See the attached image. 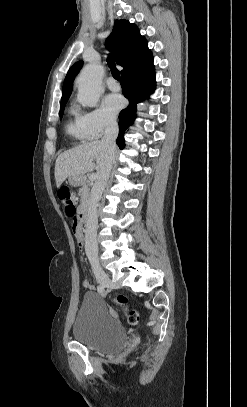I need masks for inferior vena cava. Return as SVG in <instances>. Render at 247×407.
<instances>
[{
    "mask_svg": "<svg viewBox=\"0 0 247 407\" xmlns=\"http://www.w3.org/2000/svg\"><path fill=\"white\" fill-rule=\"evenodd\" d=\"M118 135V124L114 120H109L106 124L104 136L101 140L102 145L109 152V158L105 168L97 177V180L92 188L91 199L88 206V215L85 230V252L92 264L98 263V244H97V229L98 215L97 206L101 199L102 192L108 182L109 175L112 169V164L115 157L116 138Z\"/></svg>",
    "mask_w": 247,
    "mask_h": 407,
    "instance_id": "inferior-vena-cava-1",
    "label": "inferior vena cava"
}]
</instances>
